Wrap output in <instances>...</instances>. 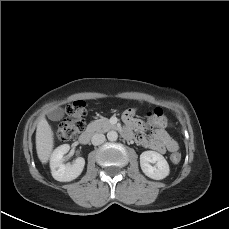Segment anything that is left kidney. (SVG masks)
Returning <instances> with one entry per match:
<instances>
[{
  "instance_id": "5707ae66",
  "label": "left kidney",
  "mask_w": 229,
  "mask_h": 229,
  "mask_svg": "<svg viewBox=\"0 0 229 229\" xmlns=\"http://www.w3.org/2000/svg\"><path fill=\"white\" fill-rule=\"evenodd\" d=\"M150 163L155 165L152 166ZM140 166L143 173L154 180L164 179L170 172L166 159L155 151H144L140 155Z\"/></svg>"
}]
</instances>
